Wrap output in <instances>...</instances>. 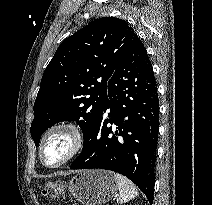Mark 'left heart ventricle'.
I'll use <instances>...</instances> for the list:
<instances>
[{"mask_svg":"<svg viewBox=\"0 0 212 205\" xmlns=\"http://www.w3.org/2000/svg\"><path fill=\"white\" fill-rule=\"evenodd\" d=\"M70 143L63 134L54 135L46 144L44 158L48 163H56L68 152Z\"/></svg>","mask_w":212,"mask_h":205,"instance_id":"1","label":"left heart ventricle"}]
</instances>
